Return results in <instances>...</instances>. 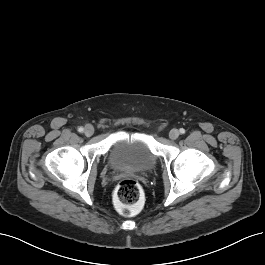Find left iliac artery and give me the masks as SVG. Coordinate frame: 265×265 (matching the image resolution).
<instances>
[{
  "label": "left iliac artery",
  "instance_id": "1",
  "mask_svg": "<svg viewBox=\"0 0 265 265\" xmlns=\"http://www.w3.org/2000/svg\"><path fill=\"white\" fill-rule=\"evenodd\" d=\"M179 131H180L181 134L185 133V129H183V128H181Z\"/></svg>",
  "mask_w": 265,
  "mask_h": 265
}]
</instances>
